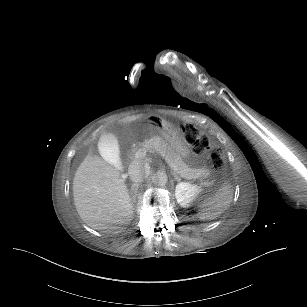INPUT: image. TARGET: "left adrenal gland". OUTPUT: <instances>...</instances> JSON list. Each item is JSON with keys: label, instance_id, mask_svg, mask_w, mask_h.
Segmentation results:
<instances>
[{"label": "left adrenal gland", "instance_id": "1", "mask_svg": "<svg viewBox=\"0 0 307 307\" xmlns=\"http://www.w3.org/2000/svg\"><path fill=\"white\" fill-rule=\"evenodd\" d=\"M175 180H179V175L176 172H171Z\"/></svg>", "mask_w": 307, "mask_h": 307}]
</instances>
